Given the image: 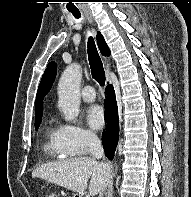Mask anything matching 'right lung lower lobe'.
<instances>
[{
  "mask_svg": "<svg viewBox=\"0 0 191 197\" xmlns=\"http://www.w3.org/2000/svg\"><path fill=\"white\" fill-rule=\"evenodd\" d=\"M105 93H106L105 120L107 122V128L106 131L103 133V147L106 156L110 160H112L118 143V135H119L118 108H117L116 96L113 86L108 85L106 87Z\"/></svg>",
  "mask_w": 191,
  "mask_h": 197,
  "instance_id": "right-lung-lower-lobe-1",
  "label": "right lung lower lobe"
}]
</instances>
